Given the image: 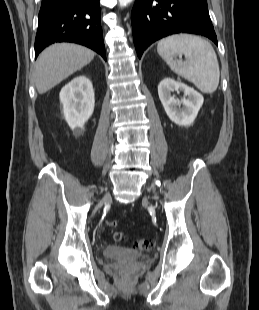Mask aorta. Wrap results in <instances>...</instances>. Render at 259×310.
<instances>
[{
  "instance_id": "aorta-1",
  "label": "aorta",
  "mask_w": 259,
  "mask_h": 310,
  "mask_svg": "<svg viewBox=\"0 0 259 310\" xmlns=\"http://www.w3.org/2000/svg\"><path fill=\"white\" fill-rule=\"evenodd\" d=\"M133 0H119V6L120 7H125L128 4H130Z\"/></svg>"
}]
</instances>
